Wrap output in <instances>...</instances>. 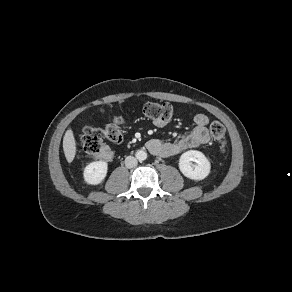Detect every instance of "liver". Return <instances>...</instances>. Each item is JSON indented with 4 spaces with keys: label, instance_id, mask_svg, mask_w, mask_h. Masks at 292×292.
Segmentation results:
<instances>
[{
    "label": "liver",
    "instance_id": "6515ba94",
    "mask_svg": "<svg viewBox=\"0 0 292 292\" xmlns=\"http://www.w3.org/2000/svg\"><path fill=\"white\" fill-rule=\"evenodd\" d=\"M63 150L68 163H71L76 154V142L73 131L68 129L63 138Z\"/></svg>",
    "mask_w": 292,
    "mask_h": 292
}]
</instances>
